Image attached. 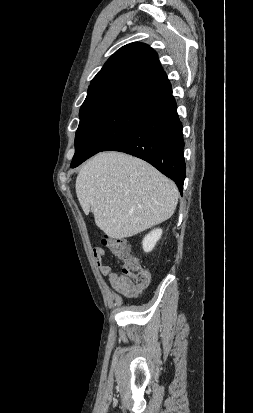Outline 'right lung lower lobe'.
<instances>
[{"instance_id": "right-lung-lower-lobe-1", "label": "right lung lower lobe", "mask_w": 253, "mask_h": 413, "mask_svg": "<svg viewBox=\"0 0 253 413\" xmlns=\"http://www.w3.org/2000/svg\"><path fill=\"white\" fill-rule=\"evenodd\" d=\"M182 123L173 102L150 114L132 132L103 151H120L141 158L171 178L182 193L185 179Z\"/></svg>"}]
</instances>
